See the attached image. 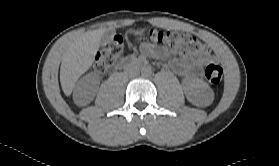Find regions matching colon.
I'll list each match as a JSON object with an SVG mask.
<instances>
[{
	"mask_svg": "<svg viewBox=\"0 0 279 166\" xmlns=\"http://www.w3.org/2000/svg\"><path fill=\"white\" fill-rule=\"evenodd\" d=\"M147 37L152 43L163 45L177 55L205 52L203 43L189 33L152 29L148 32ZM123 50V38L120 36L113 38L103 45L98 52L94 62V70L98 73L107 72L118 62ZM204 75L209 83L216 85L222 80L223 70L219 65L210 63L205 67Z\"/></svg>",
	"mask_w": 279,
	"mask_h": 166,
	"instance_id": "5ec220e1",
	"label": "colon"
}]
</instances>
